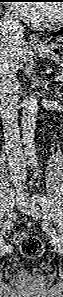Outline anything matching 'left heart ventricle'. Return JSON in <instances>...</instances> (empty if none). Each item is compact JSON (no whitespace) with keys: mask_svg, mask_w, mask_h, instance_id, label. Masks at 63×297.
I'll return each mask as SVG.
<instances>
[{"mask_svg":"<svg viewBox=\"0 0 63 297\" xmlns=\"http://www.w3.org/2000/svg\"><path fill=\"white\" fill-rule=\"evenodd\" d=\"M57 16V11L53 6H49V12L46 18V21H53Z\"/></svg>","mask_w":63,"mask_h":297,"instance_id":"obj_1","label":"left heart ventricle"}]
</instances>
